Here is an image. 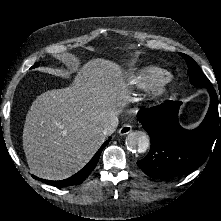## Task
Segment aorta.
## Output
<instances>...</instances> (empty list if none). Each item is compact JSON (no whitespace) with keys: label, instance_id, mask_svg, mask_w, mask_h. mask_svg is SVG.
I'll list each match as a JSON object with an SVG mask.
<instances>
[{"label":"aorta","instance_id":"1","mask_svg":"<svg viewBox=\"0 0 221 221\" xmlns=\"http://www.w3.org/2000/svg\"><path fill=\"white\" fill-rule=\"evenodd\" d=\"M126 146L131 152L144 153L150 146V138L143 131H134L127 135Z\"/></svg>","mask_w":221,"mask_h":221}]
</instances>
